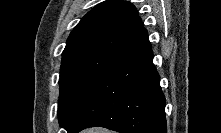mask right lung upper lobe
I'll return each instance as SVG.
<instances>
[{
	"mask_svg": "<svg viewBox=\"0 0 221 133\" xmlns=\"http://www.w3.org/2000/svg\"><path fill=\"white\" fill-rule=\"evenodd\" d=\"M150 49L136 8L127 1L108 0L88 12L71 32L61 71L107 70Z\"/></svg>",
	"mask_w": 221,
	"mask_h": 133,
	"instance_id": "cb5924a9",
	"label": "right lung upper lobe"
}]
</instances>
